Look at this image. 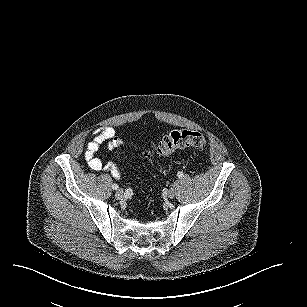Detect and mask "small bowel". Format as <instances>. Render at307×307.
<instances>
[{"label":"small bowel","instance_id":"small-bowel-1","mask_svg":"<svg viewBox=\"0 0 307 307\" xmlns=\"http://www.w3.org/2000/svg\"><path fill=\"white\" fill-rule=\"evenodd\" d=\"M103 144H106L108 149H113L122 144L121 140L117 137L116 131L113 127H100L93 133V136L85 149L84 159L91 170H107L112 174L113 177L120 179L122 176L120 169L111 162L104 163L96 155Z\"/></svg>","mask_w":307,"mask_h":307}]
</instances>
